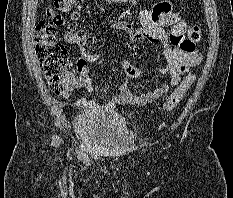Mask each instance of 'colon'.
I'll use <instances>...</instances> for the list:
<instances>
[{
  "mask_svg": "<svg viewBox=\"0 0 233 198\" xmlns=\"http://www.w3.org/2000/svg\"><path fill=\"white\" fill-rule=\"evenodd\" d=\"M80 9L81 0H55L54 7L47 10L46 19L41 20L35 29L36 54L48 85L55 94L63 93L74 82V74L69 67L67 49L57 38V30L59 28L65 30L67 40L79 45L87 44L90 38L85 31L76 29L74 20L79 16ZM64 15H69L71 21H67ZM201 37L200 28L190 26L184 47L194 49L195 43ZM199 61L198 58H192L181 65L180 71L187 75L163 104L165 111L173 110L182 100L195 79L192 68Z\"/></svg>",
  "mask_w": 233,
  "mask_h": 198,
  "instance_id": "obj_1",
  "label": "colon"
}]
</instances>
